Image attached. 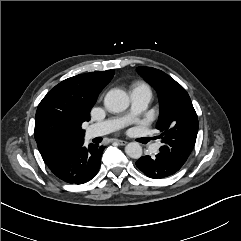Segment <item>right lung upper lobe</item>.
I'll return each instance as SVG.
<instances>
[{"label":"right lung upper lobe","instance_id":"1","mask_svg":"<svg viewBox=\"0 0 241 241\" xmlns=\"http://www.w3.org/2000/svg\"><path fill=\"white\" fill-rule=\"evenodd\" d=\"M113 76V70L80 74L47 93L38 105L34 132L43 160L67 144L84 140L81 125L89 121L91 108Z\"/></svg>","mask_w":241,"mask_h":241}]
</instances>
